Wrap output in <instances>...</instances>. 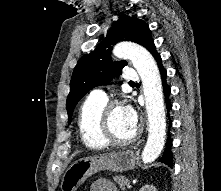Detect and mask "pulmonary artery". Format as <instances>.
<instances>
[{"mask_svg": "<svg viewBox=\"0 0 221 191\" xmlns=\"http://www.w3.org/2000/svg\"><path fill=\"white\" fill-rule=\"evenodd\" d=\"M124 78L126 81L134 82L139 79L138 73L132 69H127L124 71ZM90 96L96 99L107 100V96L102 90H94Z\"/></svg>", "mask_w": 221, "mask_h": 191, "instance_id": "e3ab8cb5", "label": "pulmonary artery"}]
</instances>
